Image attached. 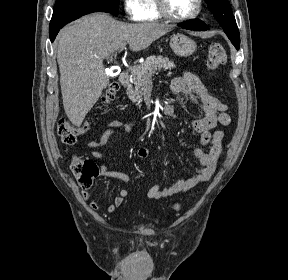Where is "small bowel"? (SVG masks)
<instances>
[{
	"instance_id": "1",
	"label": "small bowel",
	"mask_w": 288,
	"mask_h": 280,
	"mask_svg": "<svg viewBox=\"0 0 288 280\" xmlns=\"http://www.w3.org/2000/svg\"><path fill=\"white\" fill-rule=\"evenodd\" d=\"M171 90L174 94L189 95L196 103L201 104L204 116L192 119L190 124L191 127L200 135V145L207 146L208 149L204 150L202 147L195 149L194 155L199 161L201 168L193 175L180 179L173 185L166 187H162L159 183L154 184L145 193V196L149 199H161L175 194L184 193L198 184L207 182L215 172L224 138L222 130L214 129L217 125L227 126L231 122V116L228 112L227 104L210 94L197 75L184 71L180 76L172 80ZM132 127V122L125 123L115 120L107 123L101 137L99 139L90 140L87 144L88 148L92 149V157L96 159H104V155L99 151V149L107 143L109 137L117 131L130 132ZM137 156L140 159L147 158V148H139ZM100 176L120 180L122 182L129 181V176L127 174L118 171H111L106 165L100 166ZM129 194V189H121L113 202L105 208V211L107 213L114 212L124 203ZM82 197L84 200L88 201L90 193L87 190H83ZM89 205L93 210L100 208V203L96 200L91 201Z\"/></svg>"
}]
</instances>
